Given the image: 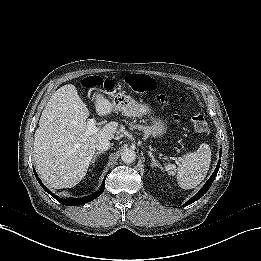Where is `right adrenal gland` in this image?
I'll list each match as a JSON object with an SVG mask.
<instances>
[{
	"label": "right adrenal gland",
	"mask_w": 261,
	"mask_h": 261,
	"mask_svg": "<svg viewBox=\"0 0 261 261\" xmlns=\"http://www.w3.org/2000/svg\"><path fill=\"white\" fill-rule=\"evenodd\" d=\"M103 153H104L103 151L96 152L95 155H94V158H93L92 163H94L95 160L97 159V157H98L100 154H103Z\"/></svg>",
	"instance_id": "right-adrenal-gland-1"
}]
</instances>
